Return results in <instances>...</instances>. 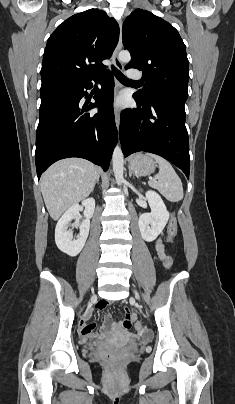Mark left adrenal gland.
<instances>
[{
	"label": "left adrenal gland",
	"instance_id": "left-adrenal-gland-1",
	"mask_svg": "<svg viewBox=\"0 0 235 404\" xmlns=\"http://www.w3.org/2000/svg\"><path fill=\"white\" fill-rule=\"evenodd\" d=\"M132 176V171L131 170H129V177H131Z\"/></svg>",
	"mask_w": 235,
	"mask_h": 404
}]
</instances>
